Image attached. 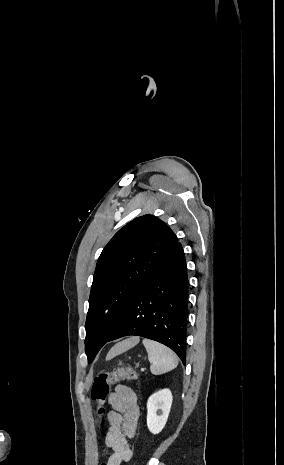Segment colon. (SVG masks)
<instances>
[{
    "instance_id": "5ec220e1",
    "label": "colon",
    "mask_w": 284,
    "mask_h": 465,
    "mask_svg": "<svg viewBox=\"0 0 284 465\" xmlns=\"http://www.w3.org/2000/svg\"><path fill=\"white\" fill-rule=\"evenodd\" d=\"M136 377L137 373L130 367L117 369L110 373H99L91 384L90 397L99 406H104L108 398L110 385L126 379H135ZM99 410H102V407H99ZM102 465H107V463L103 462Z\"/></svg>"
}]
</instances>
